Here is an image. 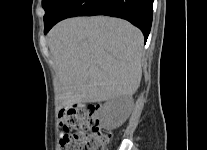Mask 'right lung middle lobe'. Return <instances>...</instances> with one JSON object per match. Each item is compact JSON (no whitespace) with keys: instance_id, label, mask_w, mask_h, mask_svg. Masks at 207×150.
<instances>
[{"instance_id":"1","label":"right lung middle lobe","mask_w":207,"mask_h":150,"mask_svg":"<svg viewBox=\"0 0 207 150\" xmlns=\"http://www.w3.org/2000/svg\"><path fill=\"white\" fill-rule=\"evenodd\" d=\"M64 1L65 0H42V6L45 10L44 23L49 22L53 18Z\"/></svg>"}]
</instances>
